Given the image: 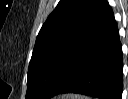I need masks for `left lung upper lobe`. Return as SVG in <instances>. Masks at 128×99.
I'll return each instance as SVG.
<instances>
[{"instance_id": "5c2ea615", "label": "left lung upper lobe", "mask_w": 128, "mask_h": 99, "mask_svg": "<svg viewBox=\"0 0 128 99\" xmlns=\"http://www.w3.org/2000/svg\"><path fill=\"white\" fill-rule=\"evenodd\" d=\"M108 7L107 0H60L37 36L26 99H47L65 63L86 42Z\"/></svg>"}]
</instances>
